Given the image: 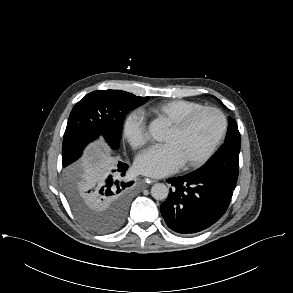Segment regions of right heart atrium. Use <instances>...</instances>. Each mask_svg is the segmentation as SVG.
Returning a JSON list of instances; mask_svg holds the SVG:
<instances>
[{
  "mask_svg": "<svg viewBox=\"0 0 293 293\" xmlns=\"http://www.w3.org/2000/svg\"><path fill=\"white\" fill-rule=\"evenodd\" d=\"M122 138L133 148L142 147L148 141L144 115L138 110L130 111L123 119Z\"/></svg>",
  "mask_w": 293,
  "mask_h": 293,
  "instance_id": "right-heart-atrium-1",
  "label": "right heart atrium"
}]
</instances>
